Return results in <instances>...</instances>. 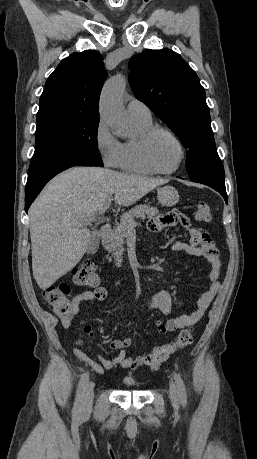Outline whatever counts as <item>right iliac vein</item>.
<instances>
[{
    "label": "right iliac vein",
    "instance_id": "obj_1",
    "mask_svg": "<svg viewBox=\"0 0 257 459\" xmlns=\"http://www.w3.org/2000/svg\"><path fill=\"white\" fill-rule=\"evenodd\" d=\"M94 397V383L92 381L87 382L83 391L82 406L84 410L91 407Z\"/></svg>",
    "mask_w": 257,
    "mask_h": 459
}]
</instances>
